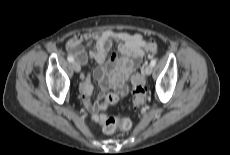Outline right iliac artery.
<instances>
[{
	"label": "right iliac artery",
	"instance_id": "right-iliac-artery-1",
	"mask_svg": "<svg viewBox=\"0 0 230 155\" xmlns=\"http://www.w3.org/2000/svg\"><path fill=\"white\" fill-rule=\"evenodd\" d=\"M67 59H68L69 62H73L74 61V58L72 56H68Z\"/></svg>",
	"mask_w": 230,
	"mask_h": 155
}]
</instances>
